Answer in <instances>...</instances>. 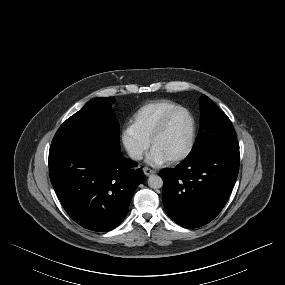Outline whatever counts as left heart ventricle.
Segmentation results:
<instances>
[{
	"mask_svg": "<svg viewBox=\"0 0 285 285\" xmlns=\"http://www.w3.org/2000/svg\"><path fill=\"white\" fill-rule=\"evenodd\" d=\"M191 121L185 112H177L170 119L164 132L157 138L153 148L169 160L181 155L188 146Z\"/></svg>",
	"mask_w": 285,
	"mask_h": 285,
	"instance_id": "b2bd125f",
	"label": "left heart ventricle"
}]
</instances>
